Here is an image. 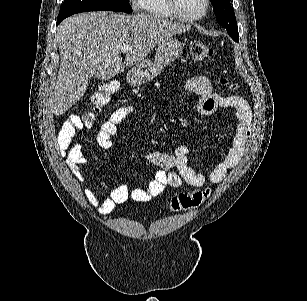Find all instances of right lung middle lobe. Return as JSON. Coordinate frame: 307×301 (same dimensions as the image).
Masks as SVG:
<instances>
[{
    "instance_id": "1",
    "label": "right lung middle lobe",
    "mask_w": 307,
    "mask_h": 301,
    "mask_svg": "<svg viewBox=\"0 0 307 301\" xmlns=\"http://www.w3.org/2000/svg\"><path fill=\"white\" fill-rule=\"evenodd\" d=\"M85 11H115L131 13L129 0H64L57 19L59 24L66 17Z\"/></svg>"
}]
</instances>
